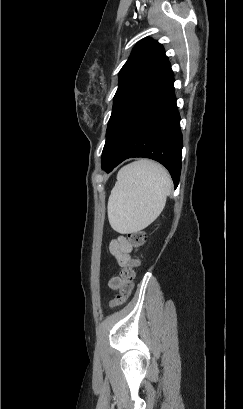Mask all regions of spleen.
I'll list each match as a JSON object with an SVG mask.
<instances>
[{"instance_id": "3e777b00", "label": "spleen", "mask_w": 243, "mask_h": 409, "mask_svg": "<svg viewBox=\"0 0 243 409\" xmlns=\"http://www.w3.org/2000/svg\"><path fill=\"white\" fill-rule=\"evenodd\" d=\"M172 180L160 164L141 159L122 167L108 200V220L120 233L140 231L162 212Z\"/></svg>"}]
</instances>
